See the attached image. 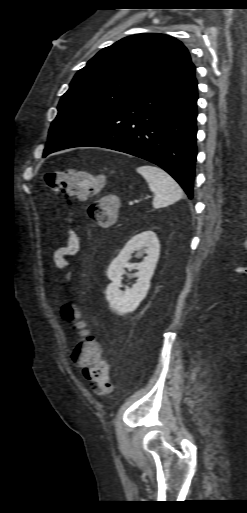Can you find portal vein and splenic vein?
Masks as SVG:
<instances>
[{
  "label": "portal vein and splenic vein",
  "instance_id": "18ae733b",
  "mask_svg": "<svg viewBox=\"0 0 247 513\" xmlns=\"http://www.w3.org/2000/svg\"><path fill=\"white\" fill-rule=\"evenodd\" d=\"M133 204H134V201H130V202H129V205H133Z\"/></svg>",
  "mask_w": 247,
  "mask_h": 513
}]
</instances>
